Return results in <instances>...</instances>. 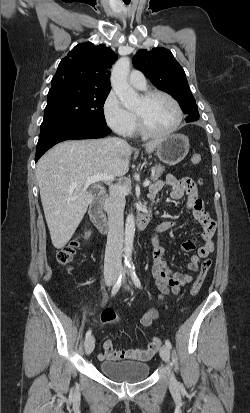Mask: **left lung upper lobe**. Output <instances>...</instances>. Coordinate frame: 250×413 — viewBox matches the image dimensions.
Wrapping results in <instances>:
<instances>
[{
    "instance_id": "1",
    "label": "left lung upper lobe",
    "mask_w": 250,
    "mask_h": 413,
    "mask_svg": "<svg viewBox=\"0 0 250 413\" xmlns=\"http://www.w3.org/2000/svg\"><path fill=\"white\" fill-rule=\"evenodd\" d=\"M133 65L157 88L174 96L187 117L199 118L198 107L188 86L185 72L169 50L141 49L133 57Z\"/></svg>"
}]
</instances>
